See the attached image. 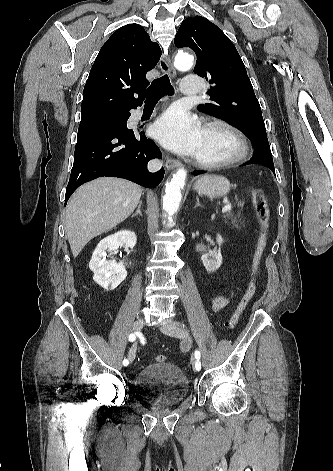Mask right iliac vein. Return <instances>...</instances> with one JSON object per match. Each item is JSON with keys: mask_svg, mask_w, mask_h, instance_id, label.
<instances>
[{"mask_svg": "<svg viewBox=\"0 0 333 471\" xmlns=\"http://www.w3.org/2000/svg\"><path fill=\"white\" fill-rule=\"evenodd\" d=\"M144 327V321L142 319H138L133 323V330L135 332H140ZM136 357V345H133L128 353V358L130 362H133Z\"/></svg>", "mask_w": 333, "mask_h": 471, "instance_id": "obj_1", "label": "right iliac vein"}]
</instances>
